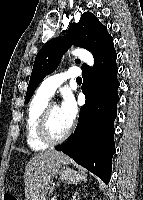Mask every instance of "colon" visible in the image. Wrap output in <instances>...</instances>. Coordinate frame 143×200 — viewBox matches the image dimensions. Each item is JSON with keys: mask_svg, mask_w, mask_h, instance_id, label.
<instances>
[{"mask_svg": "<svg viewBox=\"0 0 143 200\" xmlns=\"http://www.w3.org/2000/svg\"><path fill=\"white\" fill-rule=\"evenodd\" d=\"M4 200H18V199L12 194H5Z\"/></svg>", "mask_w": 143, "mask_h": 200, "instance_id": "5ec220e1", "label": "colon"}]
</instances>
